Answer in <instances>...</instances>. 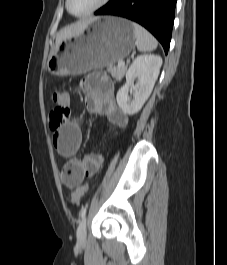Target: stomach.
<instances>
[{
	"instance_id": "stomach-1",
	"label": "stomach",
	"mask_w": 227,
	"mask_h": 265,
	"mask_svg": "<svg viewBox=\"0 0 227 265\" xmlns=\"http://www.w3.org/2000/svg\"><path fill=\"white\" fill-rule=\"evenodd\" d=\"M135 42L132 23L112 16L93 20L79 35L66 39L47 60L57 76L80 75L122 61Z\"/></svg>"
}]
</instances>
